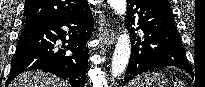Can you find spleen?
<instances>
[{
    "label": "spleen",
    "instance_id": "spleen-1",
    "mask_svg": "<svg viewBox=\"0 0 205 87\" xmlns=\"http://www.w3.org/2000/svg\"><path fill=\"white\" fill-rule=\"evenodd\" d=\"M174 87H184L183 83L182 82H174Z\"/></svg>",
    "mask_w": 205,
    "mask_h": 87
}]
</instances>
